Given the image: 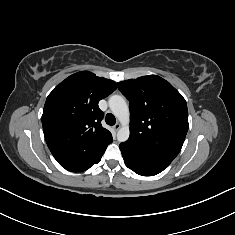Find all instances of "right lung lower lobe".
I'll return each mask as SVG.
<instances>
[{
  "label": "right lung lower lobe",
  "instance_id": "obj_1",
  "mask_svg": "<svg viewBox=\"0 0 235 235\" xmlns=\"http://www.w3.org/2000/svg\"><path fill=\"white\" fill-rule=\"evenodd\" d=\"M106 148L99 153L98 155L94 156L93 158H90L83 162H76V163H68V164H62L61 166L65 168L66 170L72 171V172H81L84 170H87L92 165L97 164L100 162L101 157L103 153L105 152Z\"/></svg>",
  "mask_w": 235,
  "mask_h": 235
}]
</instances>
